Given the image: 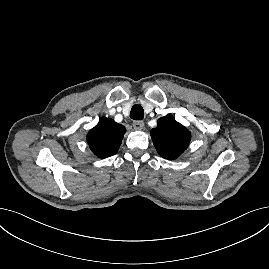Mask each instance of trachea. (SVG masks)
I'll list each match as a JSON object with an SVG mask.
<instances>
[{
	"label": "trachea",
	"mask_w": 269,
	"mask_h": 269,
	"mask_svg": "<svg viewBox=\"0 0 269 269\" xmlns=\"http://www.w3.org/2000/svg\"><path fill=\"white\" fill-rule=\"evenodd\" d=\"M130 118L134 120H142L144 118V110L141 105H134L130 111Z\"/></svg>",
	"instance_id": "1"
}]
</instances>
